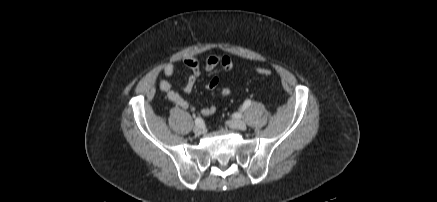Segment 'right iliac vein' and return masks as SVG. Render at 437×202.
Returning <instances> with one entry per match:
<instances>
[{
	"label": "right iliac vein",
	"mask_w": 437,
	"mask_h": 202,
	"mask_svg": "<svg viewBox=\"0 0 437 202\" xmlns=\"http://www.w3.org/2000/svg\"><path fill=\"white\" fill-rule=\"evenodd\" d=\"M193 131H194V133L196 134V135H202V134H204L205 133V128L203 127V126H195L194 128H193Z\"/></svg>",
	"instance_id": "right-iliac-vein-1"
}]
</instances>
